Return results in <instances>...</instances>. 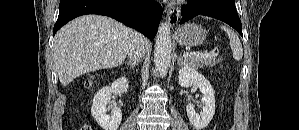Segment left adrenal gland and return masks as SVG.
<instances>
[{
  "instance_id": "left-adrenal-gland-1",
  "label": "left adrenal gland",
  "mask_w": 299,
  "mask_h": 130,
  "mask_svg": "<svg viewBox=\"0 0 299 130\" xmlns=\"http://www.w3.org/2000/svg\"><path fill=\"white\" fill-rule=\"evenodd\" d=\"M177 64H178L179 66H181V65L183 64V59H182V56H181V55L178 56Z\"/></svg>"
}]
</instances>
